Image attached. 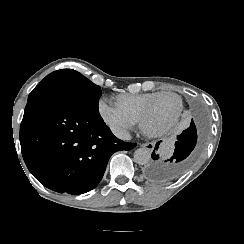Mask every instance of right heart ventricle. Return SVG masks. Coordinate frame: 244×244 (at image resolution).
<instances>
[{
  "mask_svg": "<svg viewBox=\"0 0 244 244\" xmlns=\"http://www.w3.org/2000/svg\"><path fill=\"white\" fill-rule=\"evenodd\" d=\"M159 94L158 92H154V93H149V94H143V95H131V96H119L117 97L115 100H114V104L116 106L117 105V101L118 99H126L127 100V103L128 105L131 107V108H134L135 110V115H136V118H135V122H142L140 119V114L142 113L141 111L143 110L142 108L144 106H146V104L151 101L153 98L154 95H157ZM156 101V100H155ZM152 110L149 112L147 109L145 110L146 112L144 113V119H146L147 117L149 116H154L155 115V111H154V104L153 106L151 107Z\"/></svg>",
  "mask_w": 244,
  "mask_h": 244,
  "instance_id": "1",
  "label": "right heart ventricle"
}]
</instances>
